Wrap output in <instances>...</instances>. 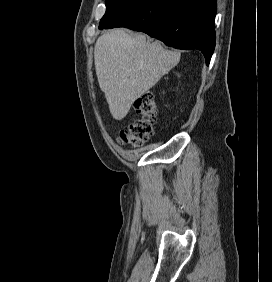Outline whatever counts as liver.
<instances>
[{
    "label": "liver",
    "instance_id": "1",
    "mask_svg": "<svg viewBox=\"0 0 272 282\" xmlns=\"http://www.w3.org/2000/svg\"><path fill=\"white\" fill-rule=\"evenodd\" d=\"M179 60L180 52L167 50L144 34L114 29L100 36L94 49L95 69L113 118L126 117L134 101Z\"/></svg>",
    "mask_w": 272,
    "mask_h": 282
}]
</instances>
